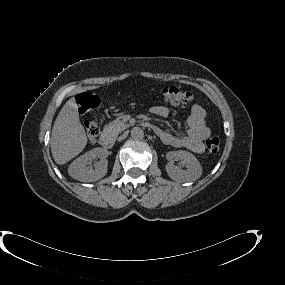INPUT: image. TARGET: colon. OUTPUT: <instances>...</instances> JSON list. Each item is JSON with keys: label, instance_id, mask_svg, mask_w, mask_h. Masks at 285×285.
I'll use <instances>...</instances> for the list:
<instances>
[{"label": "colon", "instance_id": "1", "mask_svg": "<svg viewBox=\"0 0 285 285\" xmlns=\"http://www.w3.org/2000/svg\"><path fill=\"white\" fill-rule=\"evenodd\" d=\"M159 93L165 101L175 105L186 106L194 100L192 92L181 90L175 86L163 87L159 90ZM76 101L79 112L84 115L97 109L100 105L99 97L88 92L79 94ZM84 125L90 141H94L100 130L98 122L95 119H87ZM206 147L210 153H217L220 148V139L218 137L208 139Z\"/></svg>", "mask_w": 285, "mask_h": 285}]
</instances>
